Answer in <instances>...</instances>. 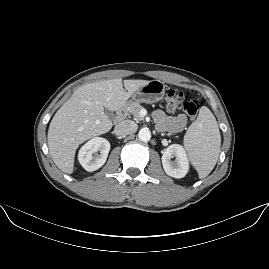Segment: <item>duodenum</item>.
I'll list each match as a JSON object with an SVG mask.
<instances>
[{
	"mask_svg": "<svg viewBox=\"0 0 269 269\" xmlns=\"http://www.w3.org/2000/svg\"><path fill=\"white\" fill-rule=\"evenodd\" d=\"M126 116V109L125 107H119L115 114V121L121 122Z\"/></svg>",
	"mask_w": 269,
	"mask_h": 269,
	"instance_id": "duodenum-1",
	"label": "duodenum"
}]
</instances>
